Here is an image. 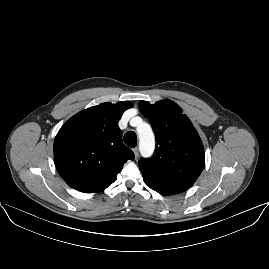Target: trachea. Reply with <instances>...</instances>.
Instances as JSON below:
<instances>
[{
	"mask_svg": "<svg viewBox=\"0 0 269 269\" xmlns=\"http://www.w3.org/2000/svg\"><path fill=\"white\" fill-rule=\"evenodd\" d=\"M124 142L131 148L137 145V136L134 131H129L124 135Z\"/></svg>",
	"mask_w": 269,
	"mask_h": 269,
	"instance_id": "3493384b",
	"label": "trachea"
}]
</instances>
